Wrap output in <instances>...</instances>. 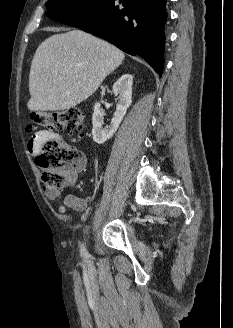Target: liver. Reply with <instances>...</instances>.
Listing matches in <instances>:
<instances>
[{
  "label": "liver",
  "mask_w": 233,
  "mask_h": 328,
  "mask_svg": "<svg viewBox=\"0 0 233 328\" xmlns=\"http://www.w3.org/2000/svg\"><path fill=\"white\" fill-rule=\"evenodd\" d=\"M110 43L81 30L55 34L43 41L32 59L28 109L61 111L92 95L124 60Z\"/></svg>",
  "instance_id": "obj_1"
}]
</instances>
